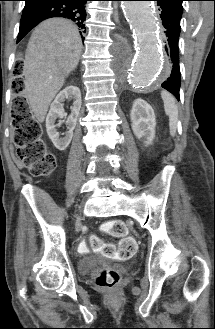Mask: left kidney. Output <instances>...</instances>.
I'll list each match as a JSON object with an SVG mask.
<instances>
[{
	"instance_id": "1",
	"label": "left kidney",
	"mask_w": 215,
	"mask_h": 329,
	"mask_svg": "<svg viewBox=\"0 0 215 329\" xmlns=\"http://www.w3.org/2000/svg\"><path fill=\"white\" fill-rule=\"evenodd\" d=\"M132 130L138 139H144L145 144L152 143L155 137V114L153 108L143 99H136L133 102L130 113Z\"/></svg>"
}]
</instances>
